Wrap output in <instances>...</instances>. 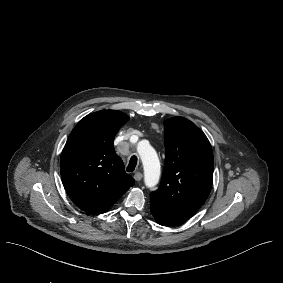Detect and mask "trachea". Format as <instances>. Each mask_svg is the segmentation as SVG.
Listing matches in <instances>:
<instances>
[{
  "instance_id": "obj_1",
  "label": "trachea",
  "mask_w": 283,
  "mask_h": 283,
  "mask_svg": "<svg viewBox=\"0 0 283 283\" xmlns=\"http://www.w3.org/2000/svg\"><path fill=\"white\" fill-rule=\"evenodd\" d=\"M137 161H138L137 157L135 155H133L129 160V163H128L126 170L128 172H133L136 168Z\"/></svg>"
}]
</instances>
